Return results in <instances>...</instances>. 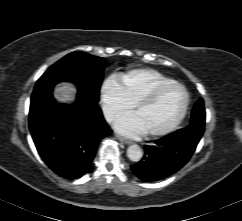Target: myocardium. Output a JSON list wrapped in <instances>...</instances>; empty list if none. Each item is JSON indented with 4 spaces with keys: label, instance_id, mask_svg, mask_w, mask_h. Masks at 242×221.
Masks as SVG:
<instances>
[{
    "label": "myocardium",
    "instance_id": "f54148a6",
    "mask_svg": "<svg viewBox=\"0 0 242 221\" xmlns=\"http://www.w3.org/2000/svg\"><path fill=\"white\" fill-rule=\"evenodd\" d=\"M170 86L179 87L183 91L184 103H183L182 109H181L179 115L175 118V120L172 123H170L167 127L163 128L159 131L146 133V136L148 138H159V137H162V136H165V135L171 133L179 126V124L183 121V119L185 118V116L187 114V111L189 108V103H190L189 93L184 85H182L181 83L174 81V80L160 83V84L154 86L152 89H150L143 97H141L134 104V109H133L134 112L137 111L138 109L150 104L162 90H164L165 88L170 87Z\"/></svg>",
    "mask_w": 242,
    "mask_h": 221
}]
</instances>
